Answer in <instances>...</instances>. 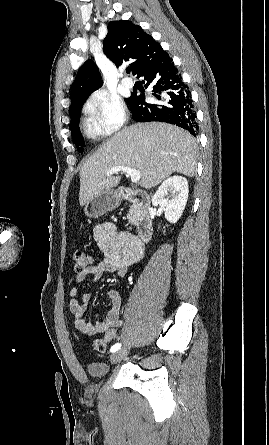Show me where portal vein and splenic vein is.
<instances>
[{
  "label": "portal vein and splenic vein",
  "mask_w": 269,
  "mask_h": 445,
  "mask_svg": "<svg viewBox=\"0 0 269 445\" xmlns=\"http://www.w3.org/2000/svg\"><path fill=\"white\" fill-rule=\"evenodd\" d=\"M125 172L128 176H130L132 183H138L141 177V174L138 170L133 169L128 166H115L108 170L107 176H111L113 174H116L118 172Z\"/></svg>",
  "instance_id": "obj_1"
}]
</instances>
